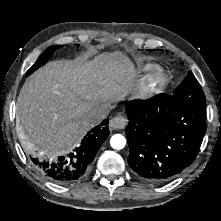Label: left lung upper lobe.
Listing matches in <instances>:
<instances>
[{
  "instance_id": "5c2ea615",
  "label": "left lung upper lobe",
  "mask_w": 221,
  "mask_h": 221,
  "mask_svg": "<svg viewBox=\"0 0 221 221\" xmlns=\"http://www.w3.org/2000/svg\"><path fill=\"white\" fill-rule=\"evenodd\" d=\"M174 97L178 100L205 102V95L191 71L184 81L175 89Z\"/></svg>"
}]
</instances>
